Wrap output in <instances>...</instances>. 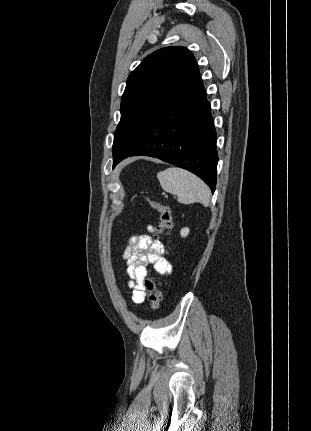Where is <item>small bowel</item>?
I'll list each match as a JSON object with an SVG mask.
<instances>
[{"label":"small bowel","mask_w":311,"mask_h":431,"mask_svg":"<svg viewBox=\"0 0 311 431\" xmlns=\"http://www.w3.org/2000/svg\"><path fill=\"white\" fill-rule=\"evenodd\" d=\"M153 231V226H149ZM165 248L160 241L153 240L150 235L140 234L131 237L125 247L123 258L127 263L129 286L132 289L134 303H142L145 299L144 278L147 268L151 265L160 274H169L171 265L164 257Z\"/></svg>","instance_id":"c3829d8e"}]
</instances>
